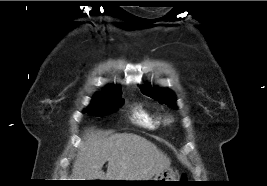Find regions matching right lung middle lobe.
Masks as SVG:
<instances>
[{"label":"right lung middle lobe","instance_id":"obj_1","mask_svg":"<svg viewBox=\"0 0 267 186\" xmlns=\"http://www.w3.org/2000/svg\"><path fill=\"white\" fill-rule=\"evenodd\" d=\"M123 104L121 93L112 95L96 94L89 107L85 109L89 115L102 117L115 112Z\"/></svg>","mask_w":267,"mask_h":186}]
</instances>
